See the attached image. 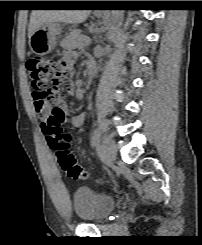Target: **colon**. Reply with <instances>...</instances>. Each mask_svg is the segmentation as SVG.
<instances>
[{
  "mask_svg": "<svg viewBox=\"0 0 202 245\" xmlns=\"http://www.w3.org/2000/svg\"><path fill=\"white\" fill-rule=\"evenodd\" d=\"M28 74L31 86L35 89V104L43 106L48 114L44 124L46 135L50 138L51 148L60 169L70 178L87 180L90 174L80 165L70 150L71 136L62 127L67 117L54 109V102L60 95V87L68 78L69 71L61 61L44 57L29 60Z\"/></svg>",
  "mask_w": 202,
  "mask_h": 245,
  "instance_id": "obj_1",
  "label": "colon"
}]
</instances>
